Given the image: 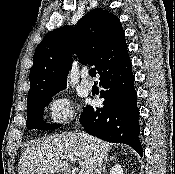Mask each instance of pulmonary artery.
Returning a JSON list of instances; mask_svg holds the SVG:
<instances>
[{"label":"pulmonary artery","instance_id":"1","mask_svg":"<svg viewBox=\"0 0 175 174\" xmlns=\"http://www.w3.org/2000/svg\"><path fill=\"white\" fill-rule=\"evenodd\" d=\"M81 85L85 90H91L93 87V83L88 80V72L87 71H83L82 72V81H81Z\"/></svg>","mask_w":175,"mask_h":174}]
</instances>
